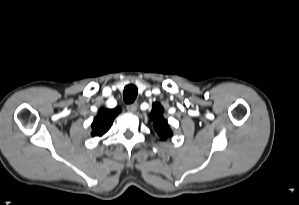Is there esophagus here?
<instances>
[{
	"label": "esophagus",
	"instance_id": "obj_1",
	"mask_svg": "<svg viewBox=\"0 0 299 205\" xmlns=\"http://www.w3.org/2000/svg\"><path fill=\"white\" fill-rule=\"evenodd\" d=\"M138 108V103H132L127 105V111L131 113H135Z\"/></svg>",
	"mask_w": 299,
	"mask_h": 205
}]
</instances>
